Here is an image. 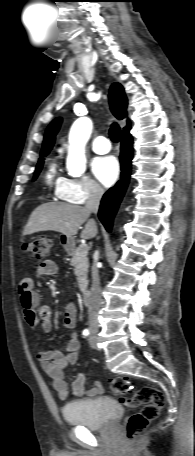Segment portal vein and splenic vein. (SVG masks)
<instances>
[{
  "label": "portal vein and splenic vein",
  "mask_w": 195,
  "mask_h": 456,
  "mask_svg": "<svg viewBox=\"0 0 195 456\" xmlns=\"http://www.w3.org/2000/svg\"><path fill=\"white\" fill-rule=\"evenodd\" d=\"M82 251L87 252L88 251V246L86 244L81 245Z\"/></svg>",
  "instance_id": "portal-vein-and-splenic-vein-1"
}]
</instances>
